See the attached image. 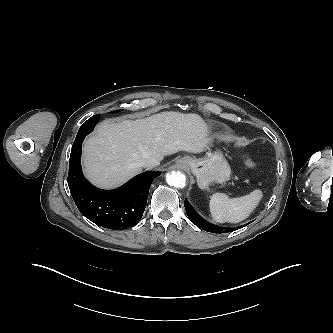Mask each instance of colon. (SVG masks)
I'll list each match as a JSON object with an SVG mask.
<instances>
[{"instance_id": "colon-1", "label": "colon", "mask_w": 333, "mask_h": 333, "mask_svg": "<svg viewBox=\"0 0 333 333\" xmlns=\"http://www.w3.org/2000/svg\"><path fill=\"white\" fill-rule=\"evenodd\" d=\"M245 164L248 168H254L255 163L249 157H246Z\"/></svg>"}]
</instances>
